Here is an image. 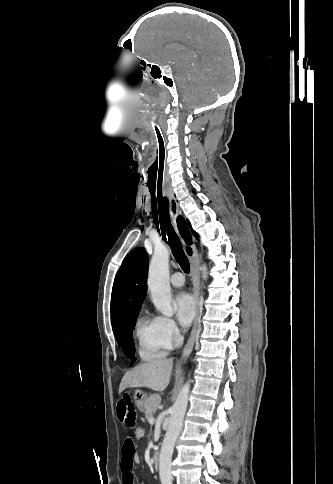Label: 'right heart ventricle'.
Listing matches in <instances>:
<instances>
[{
    "label": "right heart ventricle",
    "mask_w": 333,
    "mask_h": 484,
    "mask_svg": "<svg viewBox=\"0 0 333 484\" xmlns=\"http://www.w3.org/2000/svg\"><path fill=\"white\" fill-rule=\"evenodd\" d=\"M135 335L138 341V353L143 360L166 356L168 349L162 341L158 317L141 315L136 322Z\"/></svg>",
    "instance_id": "right-heart-ventricle-1"
}]
</instances>
